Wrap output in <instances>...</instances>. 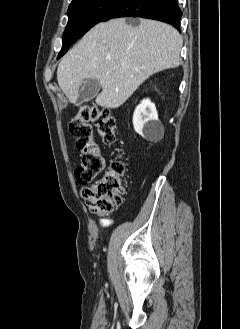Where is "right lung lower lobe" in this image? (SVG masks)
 I'll use <instances>...</instances> for the list:
<instances>
[{
    "mask_svg": "<svg viewBox=\"0 0 240 329\" xmlns=\"http://www.w3.org/2000/svg\"><path fill=\"white\" fill-rule=\"evenodd\" d=\"M181 16L177 0H121L100 22L118 17H141L169 23L180 31Z\"/></svg>",
    "mask_w": 240,
    "mask_h": 329,
    "instance_id": "obj_1",
    "label": "right lung lower lobe"
}]
</instances>
